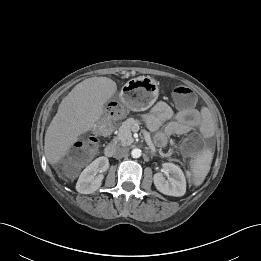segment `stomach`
<instances>
[{
    "instance_id": "1",
    "label": "stomach",
    "mask_w": 261,
    "mask_h": 261,
    "mask_svg": "<svg viewBox=\"0 0 261 261\" xmlns=\"http://www.w3.org/2000/svg\"><path fill=\"white\" fill-rule=\"evenodd\" d=\"M158 97L157 83L147 77L129 80L121 90V103L132 111H144L156 101Z\"/></svg>"
}]
</instances>
